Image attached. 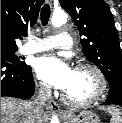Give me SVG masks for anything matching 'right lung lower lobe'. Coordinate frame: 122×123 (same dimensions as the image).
Listing matches in <instances>:
<instances>
[{
  "mask_svg": "<svg viewBox=\"0 0 122 123\" xmlns=\"http://www.w3.org/2000/svg\"><path fill=\"white\" fill-rule=\"evenodd\" d=\"M35 83L29 65H18L1 59V96L30 98Z\"/></svg>",
  "mask_w": 122,
  "mask_h": 123,
  "instance_id": "98d812e1",
  "label": "right lung lower lobe"
}]
</instances>
